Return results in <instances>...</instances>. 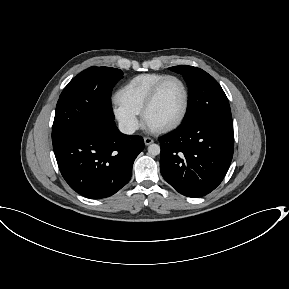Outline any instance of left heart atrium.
I'll list each match as a JSON object with an SVG mask.
<instances>
[{
	"label": "left heart atrium",
	"mask_w": 289,
	"mask_h": 289,
	"mask_svg": "<svg viewBox=\"0 0 289 289\" xmlns=\"http://www.w3.org/2000/svg\"><path fill=\"white\" fill-rule=\"evenodd\" d=\"M151 130H153L154 128L153 127H150V126H148Z\"/></svg>",
	"instance_id": "obj_1"
}]
</instances>
